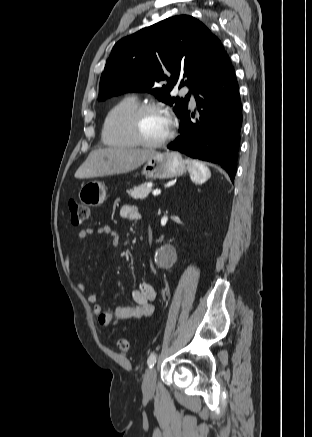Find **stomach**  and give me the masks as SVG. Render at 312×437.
Returning <instances> with one entry per match:
<instances>
[{
	"label": "stomach",
	"mask_w": 312,
	"mask_h": 437,
	"mask_svg": "<svg viewBox=\"0 0 312 437\" xmlns=\"http://www.w3.org/2000/svg\"><path fill=\"white\" fill-rule=\"evenodd\" d=\"M186 166L178 152H156L148 158L143 166L142 174L150 179H168L181 176L185 173ZM81 203L90 206H100L106 199V188L99 181H89L82 185L79 191Z\"/></svg>",
	"instance_id": "0dacf381"
}]
</instances>
